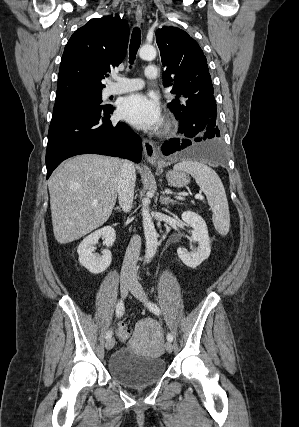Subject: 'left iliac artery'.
<instances>
[{
	"instance_id": "44dca946",
	"label": "left iliac artery",
	"mask_w": 299,
	"mask_h": 427,
	"mask_svg": "<svg viewBox=\"0 0 299 427\" xmlns=\"http://www.w3.org/2000/svg\"><path fill=\"white\" fill-rule=\"evenodd\" d=\"M147 307L150 309V311H152L156 315H159L161 313L159 307L155 303L148 302L147 303ZM167 340L170 341V342L173 341L172 334H170V333L167 334Z\"/></svg>"
}]
</instances>
